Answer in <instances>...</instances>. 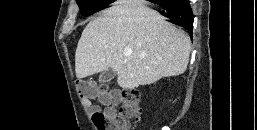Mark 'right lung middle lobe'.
Wrapping results in <instances>:
<instances>
[{
	"instance_id": "right-lung-middle-lobe-1",
	"label": "right lung middle lobe",
	"mask_w": 257,
	"mask_h": 130,
	"mask_svg": "<svg viewBox=\"0 0 257 130\" xmlns=\"http://www.w3.org/2000/svg\"><path fill=\"white\" fill-rule=\"evenodd\" d=\"M110 0H78L77 3L80 7L81 14L89 16L96 11L103 9L105 6L111 4Z\"/></svg>"
}]
</instances>
